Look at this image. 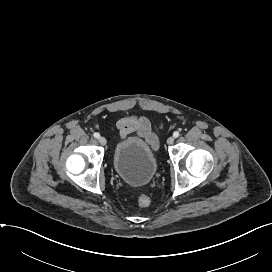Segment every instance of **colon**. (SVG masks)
<instances>
[{"label": "colon", "mask_w": 272, "mask_h": 272, "mask_svg": "<svg viewBox=\"0 0 272 272\" xmlns=\"http://www.w3.org/2000/svg\"><path fill=\"white\" fill-rule=\"evenodd\" d=\"M137 203L140 207H147L150 204V199L147 195H140L137 199Z\"/></svg>", "instance_id": "5ec220e1"}]
</instances>
